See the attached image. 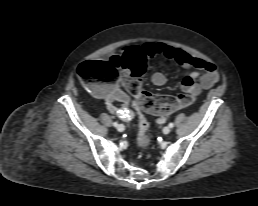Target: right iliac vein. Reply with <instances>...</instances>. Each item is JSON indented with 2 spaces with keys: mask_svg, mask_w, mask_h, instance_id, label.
Returning a JSON list of instances; mask_svg holds the SVG:
<instances>
[{
  "mask_svg": "<svg viewBox=\"0 0 258 206\" xmlns=\"http://www.w3.org/2000/svg\"><path fill=\"white\" fill-rule=\"evenodd\" d=\"M124 129H125V127H124V125H122V124H120V125L117 126V130H118L119 132L124 131Z\"/></svg>",
  "mask_w": 258,
  "mask_h": 206,
  "instance_id": "right-iliac-vein-1",
  "label": "right iliac vein"
}]
</instances>
